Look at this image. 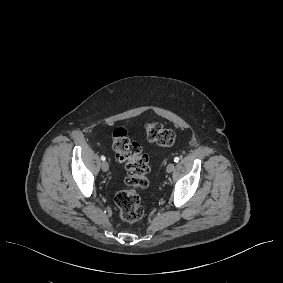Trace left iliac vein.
<instances>
[{
    "label": "left iliac vein",
    "mask_w": 283,
    "mask_h": 283,
    "mask_svg": "<svg viewBox=\"0 0 283 283\" xmlns=\"http://www.w3.org/2000/svg\"><path fill=\"white\" fill-rule=\"evenodd\" d=\"M174 168H175V164L174 163L168 164V166L166 168L167 173H172Z\"/></svg>",
    "instance_id": "1"
}]
</instances>
